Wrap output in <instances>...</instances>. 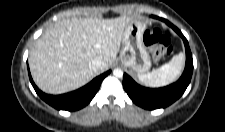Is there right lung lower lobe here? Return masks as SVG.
<instances>
[{"mask_svg": "<svg viewBox=\"0 0 225 132\" xmlns=\"http://www.w3.org/2000/svg\"><path fill=\"white\" fill-rule=\"evenodd\" d=\"M28 73L33 88L46 103L58 110L75 111L83 108L92 100L99 90L102 80L110 73V71L96 77L90 83L76 91L57 96L48 95L40 91L32 80L29 68Z\"/></svg>", "mask_w": 225, "mask_h": 132, "instance_id": "right-lung-lower-lobe-1", "label": "right lung lower lobe"}]
</instances>
